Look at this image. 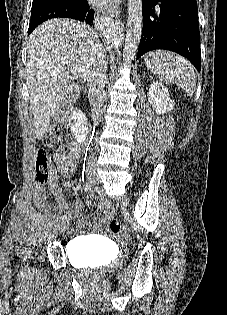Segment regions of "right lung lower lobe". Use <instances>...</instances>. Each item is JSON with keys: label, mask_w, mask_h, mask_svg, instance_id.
Masks as SVG:
<instances>
[{"label": "right lung lower lobe", "mask_w": 227, "mask_h": 315, "mask_svg": "<svg viewBox=\"0 0 227 315\" xmlns=\"http://www.w3.org/2000/svg\"><path fill=\"white\" fill-rule=\"evenodd\" d=\"M89 5L86 0H80L65 11L63 18H71L79 21H86L93 25L94 11L88 10Z\"/></svg>", "instance_id": "98d812e1"}]
</instances>
